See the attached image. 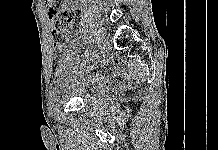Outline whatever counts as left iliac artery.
<instances>
[{
    "label": "left iliac artery",
    "mask_w": 218,
    "mask_h": 150,
    "mask_svg": "<svg viewBox=\"0 0 218 150\" xmlns=\"http://www.w3.org/2000/svg\"><path fill=\"white\" fill-rule=\"evenodd\" d=\"M93 34H94V36H95V38H94V42H93V45L95 46L94 48H93V54H92V57L89 59L90 61H88V62H86V65H83L82 66V68L81 67H78L74 72L76 73V74H78L79 72H81V71H87V69L88 68H90V64H92V63H95L96 62V57H97V54L96 53H98V50L100 49V47H101V45H99L100 44V41H99V39H100V34H99V31H97L96 29L92 32Z\"/></svg>",
    "instance_id": "obj_1"
}]
</instances>
